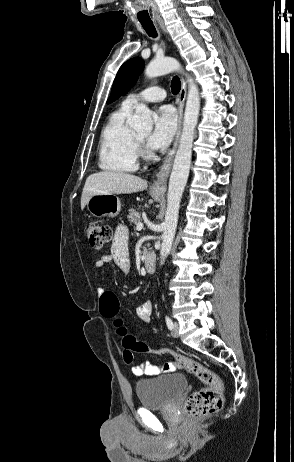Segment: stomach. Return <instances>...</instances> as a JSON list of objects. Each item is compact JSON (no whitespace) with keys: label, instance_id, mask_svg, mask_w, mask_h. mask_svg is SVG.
<instances>
[{"label":"stomach","instance_id":"obj_1","mask_svg":"<svg viewBox=\"0 0 294 462\" xmlns=\"http://www.w3.org/2000/svg\"><path fill=\"white\" fill-rule=\"evenodd\" d=\"M150 195L158 201L161 194L150 191ZM87 209L95 217H116L121 210L120 199L115 194H95L87 202Z\"/></svg>","mask_w":294,"mask_h":462}]
</instances>
